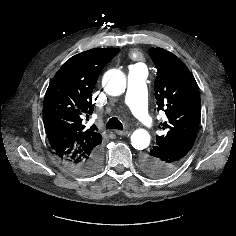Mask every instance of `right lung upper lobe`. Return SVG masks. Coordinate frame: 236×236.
Wrapping results in <instances>:
<instances>
[{
	"mask_svg": "<svg viewBox=\"0 0 236 236\" xmlns=\"http://www.w3.org/2000/svg\"><path fill=\"white\" fill-rule=\"evenodd\" d=\"M118 48H97L67 60L52 79L43 103L49 143L63 162L83 161L101 146L96 125L86 126L93 113L92 91L104 66Z\"/></svg>",
	"mask_w": 236,
	"mask_h": 236,
	"instance_id": "cb5924a9",
	"label": "right lung upper lobe"
}]
</instances>
